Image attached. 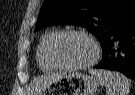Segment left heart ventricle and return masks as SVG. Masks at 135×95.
<instances>
[{"label":"left heart ventricle","mask_w":135,"mask_h":95,"mask_svg":"<svg viewBox=\"0 0 135 95\" xmlns=\"http://www.w3.org/2000/svg\"><path fill=\"white\" fill-rule=\"evenodd\" d=\"M93 46L88 39L79 35H66L54 46V57L62 64L78 65L93 56Z\"/></svg>","instance_id":"1"}]
</instances>
